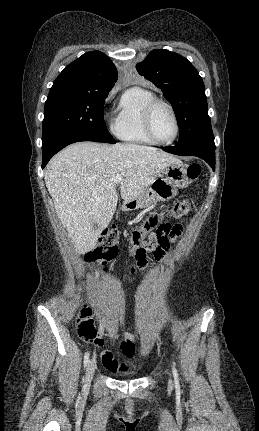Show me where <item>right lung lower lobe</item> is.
<instances>
[{"instance_id": "98d812e1", "label": "right lung lower lobe", "mask_w": 259, "mask_h": 431, "mask_svg": "<svg viewBox=\"0 0 259 431\" xmlns=\"http://www.w3.org/2000/svg\"><path fill=\"white\" fill-rule=\"evenodd\" d=\"M80 141H94V142H102L90 135L81 134L79 132H62L59 133L42 144V153H43V161H42V169L46 166L48 161L56 154L58 151L63 149L69 144L80 142Z\"/></svg>"}]
</instances>
